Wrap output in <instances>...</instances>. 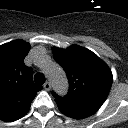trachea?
Masks as SVG:
<instances>
[{
	"instance_id": "obj_1",
	"label": "trachea",
	"mask_w": 128,
	"mask_h": 128,
	"mask_svg": "<svg viewBox=\"0 0 128 128\" xmlns=\"http://www.w3.org/2000/svg\"><path fill=\"white\" fill-rule=\"evenodd\" d=\"M34 81L37 84L42 85V84L45 83V76L42 73H36L35 76H34Z\"/></svg>"
}]
</instances>
